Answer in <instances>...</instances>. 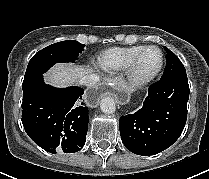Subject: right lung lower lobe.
<instances>
[{
  "label": "right lung lower lobe",
  "mask_w": 209,
  "mask_h": 179,
  "mask_svg": "<svg viewBox=\"0 0 209 179\" xmlns=\"http://www.w3.org/2000/svg\"><path fill=\"white\" fill-rule=\"evenodd\" d=\"M84 90L46 85L39 76L23 90L22 123L28 136L44 150L74 153L85 144L88 110Z\"/></svg>",
  "instance_id": "1"
}]
</instances>
